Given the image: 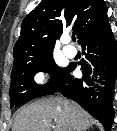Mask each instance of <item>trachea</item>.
Segmentation results:
<instances>
[{"label":"trachea","mask_w":117,"mask_h":131,"mask_svg":"<svg viewBox=\"0 0 117 131\" xmlns=\"http://www.w3.org/2000/svg\"><path fill=\"white\" fill-rule=\"evenodd\" d=\"M72 41H76V37L75 36H72Z\"/></svg>","instance_id":"trachea-1"}]
</instances>
